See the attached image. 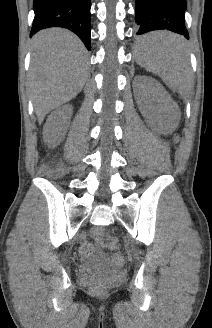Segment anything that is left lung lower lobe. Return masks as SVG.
Masks as SVG:
<instances>
[{
  "mask_svg": "<svg viewBox=\"0 0 212 328\" xmlns=\"http://www.w3.org/2000/svg\"><path fill=\"white\" fill-rule=\"evenodd\" d=\"M135 1V21L139 26L138 35L166 29L189 38L184 19L186 0ZM139 45L149 46L150 42L142 37L139 39Z\"/></svg>",
  "mask_w": 212,
  "mask_h": 328,
  "instance_id": "0a47b994",
  "label": "left lung lower lobe"
}]
</instances>
